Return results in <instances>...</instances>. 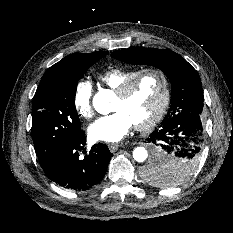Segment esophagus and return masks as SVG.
<instances>
[{
  "label": "esophagus",
  "instance_id": "34e87169",
  "mask_svg": "<svg viewBox=\"0 0 233 233\" xmlns=\"http://www.w3.org/2000/svg\"><path fill=\"white\" fill-rule=\"evenodd\" d=\"M119 147H120V144H118V143L109 144V149H110L111 152L117 151Z\"/></svg>",
  "mask_w": 233,
  "mask_h": 233
}]
</instances>
